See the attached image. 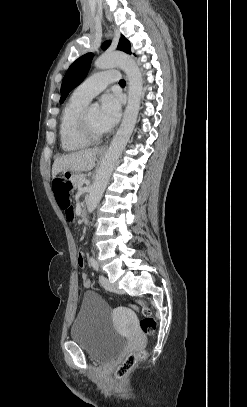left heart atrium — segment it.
Listing matches in <instances>:
<instances>
[{"mask_svg":"<svg viewBox=\"0 0 247 407\" xmlns=\"http://www.w3.org/2000/svg\"><path fill=\"white\" fill-rule=\"evenodd\" d=\"M121 114V99L112 94H106L101 98L99 121L106 130L113 127Z\"/></svg>","mask_w":247,"mask_h":407,"instance_id":"left-heart-atrium-1","label":"left heart atrium"}]
</instances>
